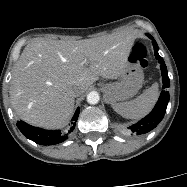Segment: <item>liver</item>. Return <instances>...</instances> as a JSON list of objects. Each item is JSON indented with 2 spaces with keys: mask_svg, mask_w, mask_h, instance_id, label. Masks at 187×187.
Segmentation results:
<instances>
[{
  "mask_svg": "<svg viewBox=\"0 0 187 187\" xmlns=\"http://www.w3.org/2000/svg\"><path fill=\"white\" fill-rule=\"evenodd\" d=\"M135 38L126 31L79 41L34 39L16 62L11 81L17 115L47 129L66 126L74 111L71 91L82 94L99 77H120Z\"/></svg>",
  "mask_w": 187,
  "mask_h": 187,
  "instance_id": "1",
  "label": "liver"
}]
</instances>
